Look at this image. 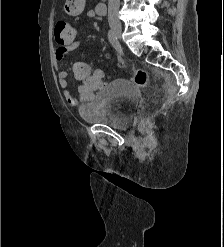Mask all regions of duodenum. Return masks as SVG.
Segmentation results:
<instances>
[{
  "mask_svg": "<svg viewBox=\"0 0 224 247\" xmlns=\"http://www.w3.org/2000/svg\"><path fill=\"white\" fill-rule=\"evenodd\" d=\"M96 11L99 15H103L106 12V4L104 1H101L96 5Z\"/></svg>",
  "mask_w": 224,
  "mask_h": 247,
  "instance_id": "410a0bca",
  "label": "duodenum"
}]
</instances>
